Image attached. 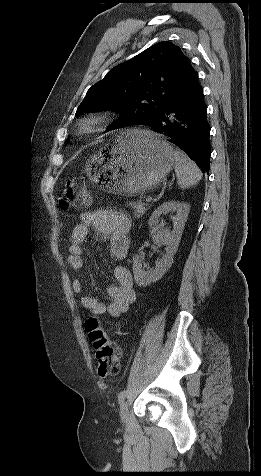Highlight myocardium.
Listing matches in <instances>:
<instances>
[{"mask_svg": "<svg viewBox=\"0 0 261 476\" xmlns=\"http://www.w3.org/2000/svg\"><path fill=\"white\" fill-rule=\"evenodd\" d=\"M107 122L104 115H92L80 120L77 124V131L80 135H89L102 128Z\"/></svg>", "mask_w": 261, "mask_h": 476, "instance_id": "1", "label": "myocardium"}]
</instances>
